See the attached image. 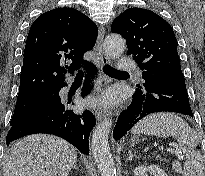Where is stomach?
<instances>
[{
    "instance_id": "obj_1",
    "label": "stomach",
    "mask_w": 205,
    "mask_h": 176,
    "mask_svg": "<svg viewBox=\"0 0 205 176\" xmlns=\"http://www.w3.org/2000/svg\"><path fill=\"white\" fill-rule=\"evenodd\" d=\"M136 142H137V138H136V137H133V138L131 139V141H130V143H131L132 145H134Z\"/></svg>"
}]
</instances>
